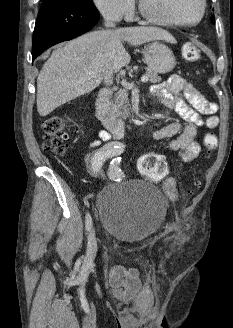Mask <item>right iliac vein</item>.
<instances>
[{
    "label": "right iliac vein",
    "instance_id": "63e3f726",
    "mask_svg": "<svg viewBox=\"0 0 233 328\" xmlns=\"http://www.w3.org/2000/svg\"><path fill=\"white\" fill-rule=\"evenodd\" d=\"M97 253V240L94 228L90 229L88 235V244L86 251V263L89 265L93 262Z\"/></svg>",
    "mask_w": 233,
    "mask_h": 328
}]
</instances>
